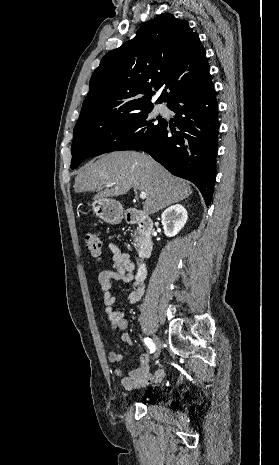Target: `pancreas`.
Instances as JSON below:
<instances>
[{
	"instance_id": "pancreas-1",
	"label": "pancreas",
	"mask_w": 279,
	"mask_h": 465,
	"mask_svg": "<svg viewBox=\"0 0 279 465\" xmlns=\"http://www.w3.org/2000/svg\"><path fill=\"white\" fill-rule=\"evenodd\" d=\"M133 236L135 237V242L133 243V246L136 247V246H137V241H138L137 233L134 232V235H133Z\"/></svg>"
}]
</instances>
